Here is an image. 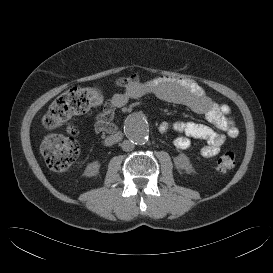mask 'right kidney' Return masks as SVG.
Instances as JSON below:
<instances>
[{
  "instance_id": "obj_1",
  "label": "right kidney",
  "mask_w": 273,
  "mask_h": 273,
  "mask_svg": "<svg viewBox=\"0 0 273 273\" xmlns=\"http://www.w3.org/2000/svg\"><path fill=\"white\" fill-rule=\"evenodd\" d=\"M100 163L98 161H94L87 165L85 173L87 176H94L99 172Z\"/></svg>"
}]
</instances>
